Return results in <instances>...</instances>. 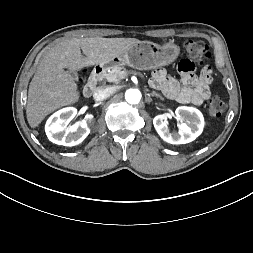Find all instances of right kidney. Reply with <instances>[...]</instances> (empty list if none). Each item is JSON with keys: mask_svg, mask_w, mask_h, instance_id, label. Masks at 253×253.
<instances>
[{"mask_svg": "<svg viewBox=\"0 0 253 253\" xmlns=\"http://www.w3.org/2000/svg\"><path fill=\"white\" fill-rule=\"evenodd\" d=\"M76 114L77 110L74 107L63 108L54 113L45 125L48 139L64 146L80 144L90 132L89 127L93 124V116L88 115L81 122L68 126Z\"/></svg>", "mask_w": 253, "mask_h": 253, "instance_id": "obj_1", "label": "right kidney"}]
</instances>
